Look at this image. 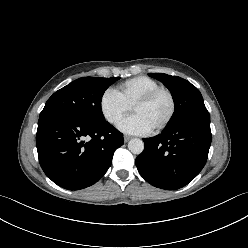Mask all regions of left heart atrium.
Segmentation results:
<instances>
[{
  "mask_svg": "<svg viewBox=\"0 0 248 248\" xmlns=\"http://www.w3.org/2000/svg\"><path fill=\"white\" fill-rule=\"evenodd\" d=\"M118 128L124 133L134 135H145L152 131L147 122L137 114L123 119L119 123Z\"/></svg>",
  "mask_w": 248,
  "mask_h": 248,
  "instance_id": "39dd6f15",
  "label": "left heart atrium"
}]
</instances>
